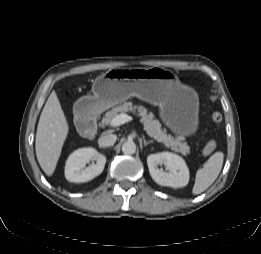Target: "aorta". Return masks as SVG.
I'll list each match as a JSON object with an SVG mask.
<instances>
[{
    "label": "aorta",
    "mask_w": 261,
    "mask_h": 254,
    "mask_svg": "<svg viewBox=\"0 0 261 254\" xmlns=\"http://www.w3.org/2000/svg\"><path fill=\"white\" fill-rule=\"evenodd\" d=\"M122 152L126 155H131L136 152V144L133 141H126L122 145Z\"/></svg>",
    "instance_id": "aorta-1"
}]
</instances>
